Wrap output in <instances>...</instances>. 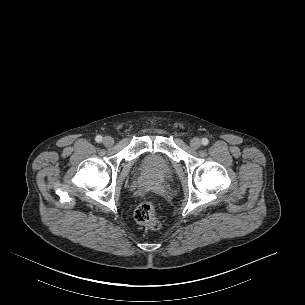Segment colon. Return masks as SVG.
Listing matches in <instances>:
<instances>
[{
	"mask_svg": "<svg viewBox=\"0 0 305 305\" xmlns=\"http://www.w3.org/2000/svg\"><path fill=\"white\" fill-rule=\"evenodd\" d=\"M134 218L139 224L151 230H157L161 226V220L156 213L154 203L149 200H145L137 206Z\"/></svg>",
	"mask_w": 305,
	"mask_h": 305,
	"instance_id": "1",
	"label": "colon"
}]
</instances>
